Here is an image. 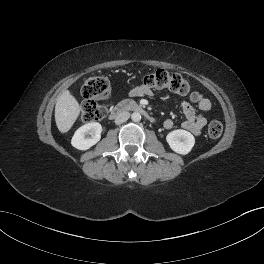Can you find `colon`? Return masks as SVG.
I'll return each mask as SVG.
<instances>
[{"instance_id": "1", "label": "colon", "mask_w": 264, "mask_h": 264, "mask_svg": "<svg viewBox=\"0 0 264 264\" xmlns=\"http://www.w3.org/2000/svg\"><path fill=\"white\" fill-rule=\"evenodd\" d=\"M142 84L149 89H167L179 95H189L192 100L198 99V95L191 90L189 83L182 76L163 69L153 70L145 75ZM110 95V84L105 77L88 78L82 87L84 98L82 120L84 122L102 120L107 113V108L102 102L108 100ZM222 132L223 125L220 121L212 120L208 124L207 133L210 138H219Z\"/></svg>"}]
</instances>
